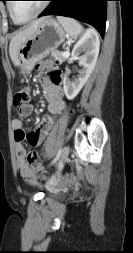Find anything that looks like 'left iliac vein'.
<instances>
[{"instance_id":"4c4485c4","label":"left iliac vein","mask_w":133,"mask_h":253,"mask_svg":"<svg viewBox=\"0 0 133 253\" xmlns=\"http://www.w3.org/2000/svg\"><path fill=\"white\" fill-rule=\"evenodd\" d=\"M69 152H70L69 146H65L61 152L59 165H62L65 162V160L69 155Z\"/></svg>"}]
</instances>
